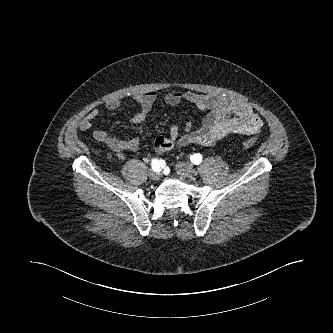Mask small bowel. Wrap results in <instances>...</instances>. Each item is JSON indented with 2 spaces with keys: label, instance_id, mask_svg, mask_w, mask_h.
Wrapping results in <instances>:
<instances>
[{
  "label": "small bowel",
  "instance_id": "1",
  "mask_svg": "<svg viewBox=\"0 0 333 333\" xmlns=\"http://www.w3.org/2000/svg\"><path fill=\"white\" fill-rule=\"evenodd\" d=\"M155 99L154 92L138 94L135 101L140 109L130 118V122L143 124L154 106ZM164 100L171 105H178L183 101L189 102L203 111L205 116L202 124L197 129H193L192 122L186 119L182 134L179 127L173 125L168 136L155 138L153 146L158 154L171 150L175 146H211L230 135L253 136L258 134L263 126V121L258 113L247 102L238 98L172 90L165 94ZM120 105L121 102L118 99H110L105 102V107L108 110H115ZM98 114L97 109L91 110L80 122V128L84 131H91L93 121ZM92 135L95 140L104 143L112 150L120 160L124 159L125 152L136 151L141 145V140L138 137L122 140L107 135L101 129L92 130Z\"/></svg>",
  "mask_w": 333,
  "mask_h": 333
}]
</instances>
